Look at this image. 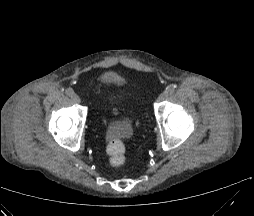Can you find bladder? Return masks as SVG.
Wrapping results in <instances>:
<instances>
[{"instance_id":"bladder-1","label":"bladder","mask_w":254,"mask_h":216,"mask_svg":"<svg viewBox=\"0 0 254 216\" xmlns=\"http://www.w3.org/2000/svg\"><path fill=\"white\" fill-rule=\"evenodd\" d=\"M110 80V76H104L100 82L102 86H105L107 82ZM117 111V110H116Z\"/></svg>"}]
</instances>
